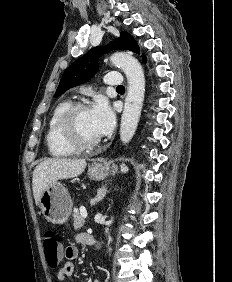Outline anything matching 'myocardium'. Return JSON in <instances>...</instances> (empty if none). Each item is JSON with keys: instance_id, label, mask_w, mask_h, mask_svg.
Returning <instances> with one entry per match:
<instances>
[{"instance_id": "1", "label": "myocardium", "mask_w": 232, "mask_h": 282, "mask_svg": "<svg viewBox=\"0 0 232 282\" xmlns=\"http://www.w3.org/2000/svg\"><path fill=\"white\" fill-rule=\"evenodd\" d=\"M85 103L71 104L63 113L60 120V133L66 143L76 150H88L96 147L100 143V138L92 141L83 140L77 130L76 120L81 111L88 110Z\"/></svg>"}]
</instances>
